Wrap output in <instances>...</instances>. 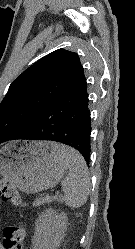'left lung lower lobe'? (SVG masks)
<instances>
[{
    "label": "left lung lower lobe",
    "mask_w": 135,
    "mask_h": 249,
    "mask_svg": "<svg viewBox=\"0 0 135 249\" xmlns=\"http://www.w3.org/2000/svg\"><path fill=\"white\" fill-rule=\"evenodd\" d=\"M86 80L41 109L33 126L10 140H50L77 149L89 165L91 117ZM9 141V140H7Z\"/></svg>",
    "instance_id": "left-lung-lower-lobe-1"
}]
</instances>
